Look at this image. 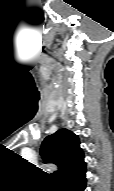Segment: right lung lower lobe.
<instances>
[{
    "instance_id": "1",
    "label": "right lung lower lobe",
    "mask_w": 114,
    "mask_h": 191,
    "mask_svg": "<svg viewBox=\"0 0 114 191\" xmlns=\"http://www.w3.org/2000/svg\"><path fill=\"white\" fill-rule=\"evenodd\" d=\"M86 168L77 171L59 182L60 191H84L86 187Z\"/></svg>"
}]
</instances>
